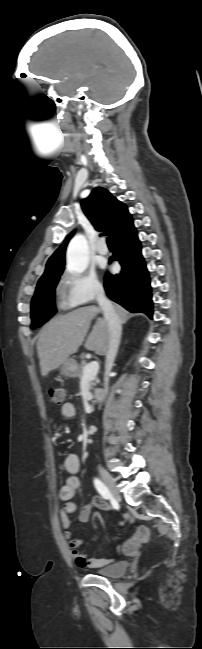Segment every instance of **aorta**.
I'll use <instances>...</instances> for the list:
<instances>
[{
  "mask_svg": "<svg viewBox=\"0 0 202 649\" xmlns=\"http://www.w3.org/2000/svg\"><path fill=\"white\" fill-rule=\"evenodd\" d=\"M89 264L88 244L83 235H76L67 249V267L78 273L84 272Z\"/></svg>",
  "mask_w": 202,
  "mask_h": 649,
  "instance_id": "1",
  "label": "aorta"
}]
</instances>
